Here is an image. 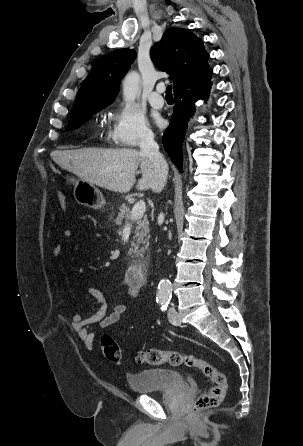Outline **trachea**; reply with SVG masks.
I'll return each instance as SVG.
<instances>
[{
	"mask_svg": "<svg viewBox=\"0 0 303 446\" xmlns=\"http://www.w3.org/2000/svg\"><path fill=\"white\" fill-rule=\"evenodd\" d=\"M166 97H173V95H172V86L171 85H168L166 87Z\"/></svg>",
	"mask_w": 303,
	"mask_h": 446,
	"instance_id": "trachea-1",
	"label": "trachea"
}]
</instances>
